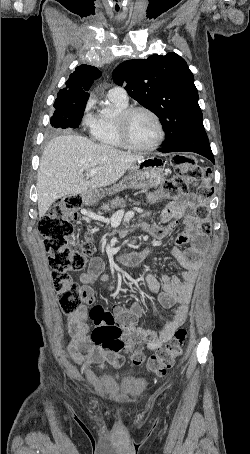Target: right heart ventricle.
<instances>
[{"label": "right heart ventricle", "mask_w": 250, "mask_h": 454, "mask_svg": "<svg viewBox=\"0 0 250 454\" xmlns=\"http://www.w3.org/2000/svg\"><path fill=\"white\" fill-rule=\"evenodd\" d=\"M113 112L111 114L97 113L92 115L93 124L90 128L91 136L99 144L114 148L124 147L118 135L116 126V116L123 109L128 107V103H122L110 99Z\"/></svg>", "instance_id": "right-heart-ventricle-1"}]
</instances>
